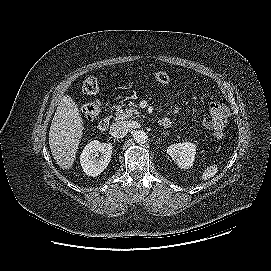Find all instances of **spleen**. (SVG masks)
<instances>
[{
	"label": "spleen",
	"mask_w": 271,
	"mask_h": 271,
	"mask_svg": "<svg viewBox=\"0 0 271 271\" xmlns=\"http://www.w3.org/2000/svg\"><path fill=\"white\" fill-rule=\"evenodd\" d=\"M218 172V167L217 165H211V166H208L204 172L202 173V176H201V179L202 180H207V179H210L212 177H214Z\"/></svg>",
	"instance_id": "obj_1"
}]
</instances>
